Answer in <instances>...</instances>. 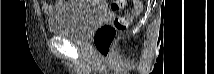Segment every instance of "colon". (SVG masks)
Listing matches in <instances>:
<instances>
[{
    "mask_svg": "<svg viewBox=\"0 0 214 74\" xmlns=\"http://www.w3.org/2000/svg\"><path fill=\"white\" fill-rule=\"evenodd\" d=\"M133 3L134 7L131 13L124 16H117L113 22L102 24L95 31L92 41L95 49L101 56L108 57L110 55L116 33L126 30L132 23L134 17L141 13L142 3L137 0L133 1ZM125 5V0L113 1L111 8L113 11H121Z\"/></svg>",
    "mask_w": 214,
    "mask_h": 74,
    "instance_id": "obj_1",
    "label": "colon"
}]
</instances>
